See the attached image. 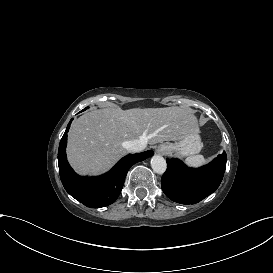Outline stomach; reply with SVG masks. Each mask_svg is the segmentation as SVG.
<instances>
[{"instance_id":"0dacf381","label":"stomach","mask_w":273,"mask_h":273,"mask_svg":"<svg viewBox=\"0 0 273 273\" xmlns=\"http://www.w3.org/2000/svg\"><path fill=\"white\" fill-rule=\"evenodd\" d=\"M164 144L166 143L159 145L158 149H162ZM202 146L203 144L200 138L198 139L185 138L176 143H169V146L167 147V151L169 155L172 154L173 152H176L177 155L181 157H186V156H193L199 153L202 149Z\"/></svg>"}]
</instances>
